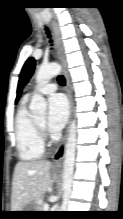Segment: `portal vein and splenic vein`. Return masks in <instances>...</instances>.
I'll list each match as a JSON object with an SVG mask.
<instances>
[{"label": "portal vein and splenic vein", "mask_w": 123, "mask_h": 219, "mask_svg": "<svg viewBox=\"0 0 123 219\" xmlns=\"http://www.w3.org/2000/svg\"><path fill=\"white\" fill-rule=\"evenodd\" d=\"M43 209H44V211H48V209H49V204H48V203H45V204L43 205Z\"/></svg>", "instance_id": "portal-vein-and-splenic-vein-1"}]
</instances>
